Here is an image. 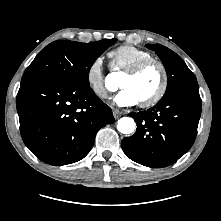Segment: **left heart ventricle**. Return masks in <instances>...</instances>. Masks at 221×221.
<instances>
[{"label": "left heart ventricle", "instance_id": "left-heart-ventricle-1", "mask_svg": "<svg viewBox=\"0 0 221 221\" xmlns=\"http://www.w3.org/2000/svg\"><path fill=\"white\" fill-rule=\"evenodd\" d=\"M160 82V69L157 65L151 64L135 76L122 75L119 86L130 89L141 102L150 98L156 92Z\"/></svg>", "mask_w": 221, "mask_h": 221}]
</instances>
